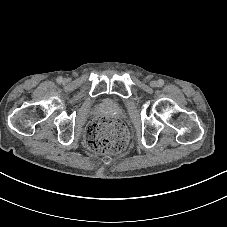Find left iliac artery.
I'll return each instance as SVG.
<instances>
[{"mask_svg": "<svg viewBox=\"0 0 227 227\" xmlns=\"http://www.w3.org/2000/svg\"><path fill=\"white\" fill-rule=\"evenodd\" d=\"M164 85V81L162 79L158 80V86L162 87Z\"/></svg>", "mask_w": 227, "mask_h": 227, "instance_id": "44dca946", "label": "left iliac artery"}]
</instances>
